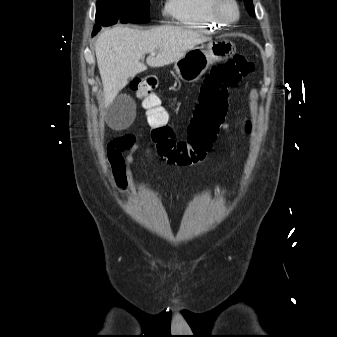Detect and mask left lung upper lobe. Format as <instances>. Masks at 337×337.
Listing matches in <instances>:
<instances>
[{"instance_id": "5c2ea615", "label": "left lung upper lobe", "mask_w": 337, "mask_h": 337, "mask_svg": "<svg viewBox=\"0 0 337 337\" xmlns=\"http://www.w3.org/2000/svg\"><path fill=\"white\" fill-rule=\"evenodd\" d=\"M245 7L251 16H255L252 0H244Z\"/></svg>"}]
</instances>
